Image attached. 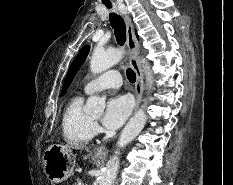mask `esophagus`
<instances>
[{
	"instance_id": "esophagus-1",
	"label": "esophagus",
	"mask_w": 233,
	"mask_h": 185,
	"mask_svg": "<svg viewBox=\"0 0 233 185\" xmlns=\"http://www.w3.org/2000/svg\"><path fill=\"white\" fill-rule=\"evenodd\" d=\"M124 20L126 24L127 46L131 53L130 64L136 74V84H135V94H136L135 112H136L141 103L143 90H144L143 72L138 60L139 44L135 35L134 25L129 15H125ZM95 154L100 156H106L108 154V149L106 146H100L95 149Z\"/></svg>"
}]
</instances>
